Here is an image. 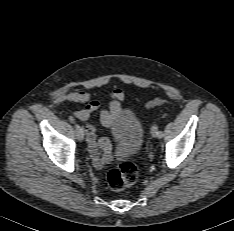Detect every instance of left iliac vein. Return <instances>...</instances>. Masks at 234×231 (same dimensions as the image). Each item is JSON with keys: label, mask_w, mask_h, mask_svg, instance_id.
Here are the masks:
<instances>
[{"label": "left iliac vein", "mask_w": 234, "mask_h": 231, "mask_svg": "<svg viewBox=\"0 0 234 231\" xmlns=\"http://www.w3.org/2000/svg\"><path fill=\"white\" fill-rule=\"evenodd\" d=\"M151 135L153 137H158V128L157 126H153L152 129H151Z\"/></svg>", "instance_id": "obj_1"}]
</instances>
